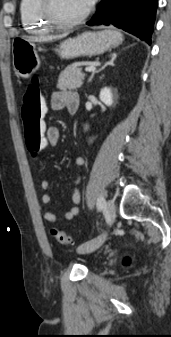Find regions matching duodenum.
<instances>
[{
  "label": "duodenum",
  "mask_w": 171,
  "mask_h": 337,
  "mask_svg": "<svg viewBox=\"0 0 171 337\" xmlns=\"http://www.w3.org/2000/svg\"><path fill=\"white\" fill-rule=\"evenodd\" d=\"M78 110V105L77 104H73V105H70L69 108H68V111L70 114H75Z\"/></svg>",
  "instance_id": "obj_1"
}]
</instances>
